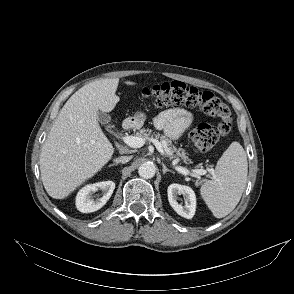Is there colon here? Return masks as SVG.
Returning <instances> with one entry per match:
<instances>
[{"label": "colon", "mask_w": 294, "mask_h": 294, "mask_svg": "<svg viewBox=\"0 0 294 294\" xmlns=\"http://www.w3.org/2000/svg\"><path fill=\"white\" fill-rule=\"evenodd\" d=\"M143 95L157 108L186 106L197 108L204 114L217 118L215 124L199 123L190 133L189 142L195 153L207 152L220 136L231 129L232 120L228 106L210 91H202L180 81H171L146 87Z\"/></svg>", "instance_id": "1"}]
</instances>
